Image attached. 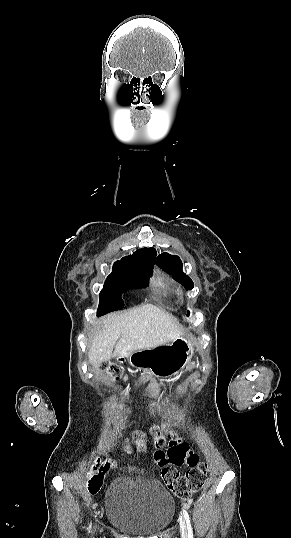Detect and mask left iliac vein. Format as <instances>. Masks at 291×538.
Segmentation results:
<instances>
[{
  "instance_id": "4c4485c4",
  "label": "left iliac vein",
  "mask_w": 291,
  "mask_h": 538,
  "mask_svg": "<svg viewBox=\"0 0 291 538\" xmlns=\"http://www.w3.org/2000/svg\"><path fill=\"white\" fill-rule=\"evenodd\" d=\"M179 523H180V530H181L182 537L188 538L186 523L182 516L179 517Z\"/></svg>"
}]
</instances>
